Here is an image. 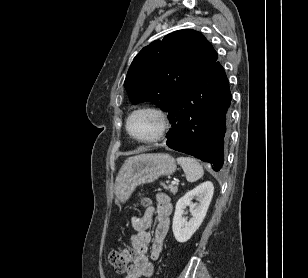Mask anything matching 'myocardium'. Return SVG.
I'll list each match as a JSON object with an SVG mask.
<instances>
[{
  "instance_id": "obj_1",
  "label": "myocardium",
  "mask_w": 308,
  "mask_h": 278,
  "mask_svg": "<svg viewBox=\"0 0 308 278\" xmlns=\"http://www.w3.org/2000/svg\"><path fill=\"white\" fill-rule=\"evenodd\" d=\"M144 111L154 113L160 120V128L158 132L153 137L146 138V139L138 138L137 136H135L130 128V122H131L132 117L135 114L139 112H144ZM169 127H170V121H169L167 113L163 109L157 106H152V105H145V106H141V107L134 109L128 115L127 120H126V130L128 134L130 135L132 139L140 143H154V142H157L163 139L166 133L168 132Z\"/></svg>"
}]
</instances>
